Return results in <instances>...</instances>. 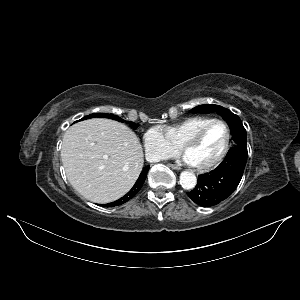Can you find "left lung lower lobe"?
<instances>
[{"label":"left lung lower lobe","mask_w":300,"mask_h":300,"mask_svg":"<svg viewBox=\"0 0 300 300\" xmlns=\"http://www.w3.org/2000/svg\"><path fill=\"white\" fill-rule=\"evenodd\" d=\"M247 156L246 147H233L216 169L198 176L196 187L187 195L202 207H211L224 201L238 186Z\"/></svg>","instance_id":"left-lung-lower-lobe-1"}]
</instances>
